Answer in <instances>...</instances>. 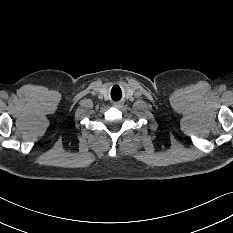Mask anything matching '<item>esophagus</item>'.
Masks as SVG:
<instances>
[{
    "label": "esophagus",
    "mask_w": 233,
    "mask_h": 233,
    "mask_svg": "<svg viewBox=\"0 0 233 233\" xmlns=\"http://www.w3.org/2000/svg\"><path fill=\"white\" fill-rule=\"evenodd\" d=\"M117 105L122 106V105H123V103H122L121 101H119V102H115V103H114V106H115V107H117Z\"/></svg>",
    "instance_id": "esophagus-1"
}]
</instances>
